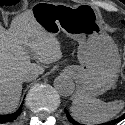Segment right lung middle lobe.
Returning <instances> with one entry per match:
<instances>
[{
    "mask_svg": "<svg viewBox=\"0 0 125 125\" xmlns=\"http://www.w3.org/2000/svg\"><path fill=\"white\" fill-rule=\"evenodd\" d=\"M4 1L6 5H13L16 4L19 0H4ZM2 4L4 5V2Z\"/></svg>",
    "mask_w": 125,
    "mask_h": 125,
    "instance_id": "1",
    "label": "right lung middle lobe"
}]
</instances>
